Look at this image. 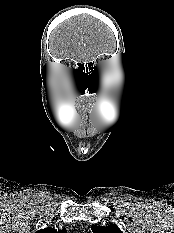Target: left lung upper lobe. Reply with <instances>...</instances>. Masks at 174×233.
Listing matches in <instances>:
<instances>
[{"instance_id":"left-lung-upper-lobe-1","label":"left lung upper lobe","mask_w":174,"mask_h":233,"mask_svg":"<svg viewBox=\"0 0 174 233\" xmlns=\"http://www.w3.org/2000/svg\"><path fill=\"white\" fill-rule=\"evenodd\" d=\"M91 229L93 233H122L116 224H111L109 226L93 225Z\"/></svg>"}]
</instances>
